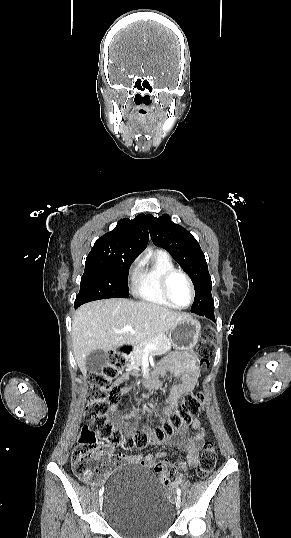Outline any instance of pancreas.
<instances>
[{
    "mask_svg": "<svg viewBox=\"0 0 291 538\" xmlns=\"http://www.w3.org/2000/svg\"><path fill=\"white\" fill-rule=\"evenodd\" d=\"M148 344L156 346L154 349L148 350V353L152 355H162L171 349V342L165 336H158L138 343L135 346L134 352L127 358L129 362L128 367L139 370V365L146 353L145 347Z\"/></svg>",
    "mask_w": 291,
    "mask_h": 538,
    "instance_id": "pancreas-1",
    "label": "pancreas"
}]
</instances>
